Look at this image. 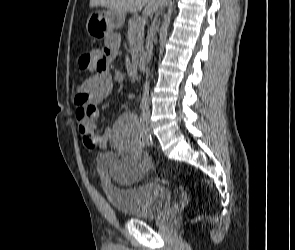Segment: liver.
Listing matches in <instances>:
<instances>
[{
    "mask_svg": "<svg viewBox=\"0 0 295 250\" xmlns=\"http://www.w3.org/2000/svg\"><path fill=\"white\" fill-rule=\"evenodd\" d=\"M166 5V0H90L91 7H105L117 12L136 13L144 8L146 15L157 12Z\"/></svg>",
    "mask_w": 295,
    "mask_h": 250,
    "instance_id": "6515ba94",
    "label": "liver"
}]
</instances>
